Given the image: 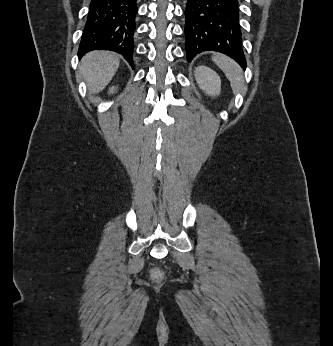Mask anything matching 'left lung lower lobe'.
<instances>
[{"instance_id":"left-lung-lower-lobe-1","label":"left lung lower lobe","mask_w":333,"mask_h":346,"mask_svg":"<svg viewBox=\"0 0 333 346\" xmlns=\"http://www.w3.org/2000/svg\"><path fill=\"white\" fill-rule=\"evenodd\" d=\"M184 31L188 62L203 51H217L246 68L238 0H187Z\"/></svg>"}]
</instances>
